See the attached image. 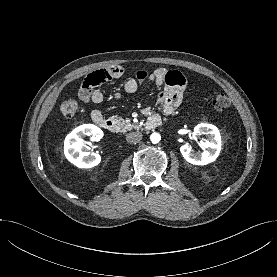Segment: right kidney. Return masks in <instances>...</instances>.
Here are the masks:
<instances>
[{"label":"right kidney","instance_id":"ca27d5eb","mask_svg":"<svg viewBox=\"0 0 277 277\" xmlns=\"http://www.w3.org/2000/svg\"><path fill=\"white\" fill-rule=\"evenodd\" d=\"M84 136H92L95 141L103 137L100 128L93 124H84L75 128L68 134L64 141V154L68 161L79 168H92L101 162V156L97 153L83 152L87 146L83 144Z\"/></svg>","mask_w":277,"mask_h":277}]
</instances>
